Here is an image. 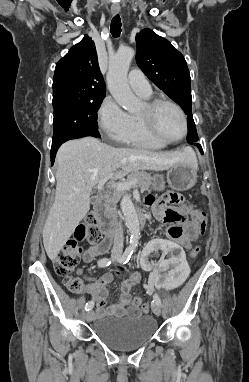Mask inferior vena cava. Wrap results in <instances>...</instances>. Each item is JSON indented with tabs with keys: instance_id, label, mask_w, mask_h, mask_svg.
I'll return each mask as SVG.
<instances>
[{
	"instance_id": "inferior-vena-cava-1",
	"label": "inferior vena cava",
	"mask_w": 249,
	"mask_h": 382,
	"mask_svg": "<svg viewBox=\"0 0 249 382\" xmlns=\"http://www.w3.org/2000/svg\"><path fill=\"white\" fill-rule=\"evenodd\" d=\"M123 242H124V237H123L122 222L117 221L115 223V238H114L113 248L111 251V256L113 258H118L122 255Z\"/></svg>"
}]
</instances>
